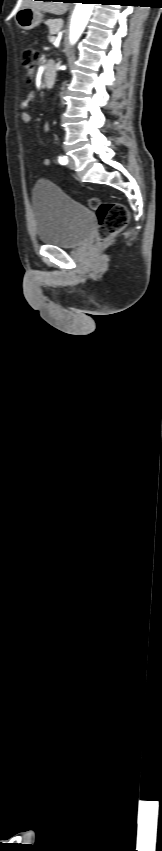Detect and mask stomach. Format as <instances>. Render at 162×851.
Wrapping results in <instances>:
<instances>
[{
  "mask_svg": "<svg viewBox=\"0 0 162 851\" xmlns=\"http://www.w3.org/2000/svg\"><path fill=\"white\" fill-rule=\"evenodd\" d=\"M43 18L41 11L30 7L20 8L16 15L15 21L17 26L23 30H31L38 26Z\"/></svg>",
  "mask_w": 162,
  "mask_h": 851,
  "instance_id": "0dacf381",
  "label": "stomach"
}]
</instances>
